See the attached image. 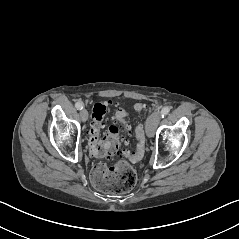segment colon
<instances>
[{
  "mask_svg": "<svg viewBox=\"0 0 239 239\" xmlns=\"http://www.w3.org/2000/svg\"><path fill=\"white\" fill-rule=\"evenodd\" d=\"M135 109L137 111H146L147 107L143 103H137ZM108 110V102H98L94 105L92 109L91 126L88 132V146L90 153L96 157H107L116 154L120 156V159L110 166L105 164H97L94 166L91 172V180L94 186L101 191L121 194L130 191L137 181L135 169L130 163L124 160L123 157L138 160L143 156L145 131L142 125L136 127V149L134 152L128 153L122 148L123 136L119 125L115 123L111 124L106 134L100 137V130L104 125ZM114 121L123 125L125 131L129 130L126 124L125 111L115 114Z\"/></svg>",
  "mask_w": 239,
  "mask_h": 239,
  "instance_id": "obj_1",
  "label": "colon"
}]
</instances>
